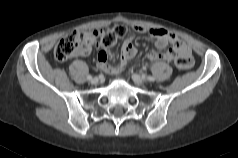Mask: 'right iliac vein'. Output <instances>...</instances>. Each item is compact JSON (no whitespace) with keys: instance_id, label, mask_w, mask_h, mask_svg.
Segmentation results:
<instances>
[{"instance_id":"1","label":"right iliac vein","mask_w":238,"mask_h":158,"mask_svg":"<svg viewBox=\"0 0 238 158\" xmlns=\"http://www.w3.org/2000/svg\"><path fill=\"white\" fill-rule=\"evenodd\" d=\"M98 81H99V80H98V78H96V77L93 78V79H91V83H92V84H97Z\"/></svg>"}]
</instances>
